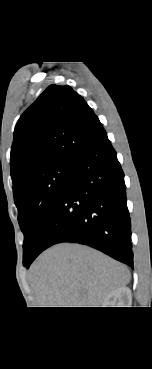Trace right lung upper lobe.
I'll return each instance as SVG.
<instances>
[{
  "label": "right lung upper lobe",
  "mask_w": 152,
  "mask_h": 369,
  "mask_svg": "<svg viewBox=\"0 0 152 369\" xmlns=\"http://www.w3.org/2000/svg\"><path fill=\"white\" fill-rule=\"evenodd\" d=\"M105 130L70 86H49L21 115L11 148L13 192L30 173L69 162Z\"/></svg>",
  "instance_id": "cb5924a9"
}]
</instances>
